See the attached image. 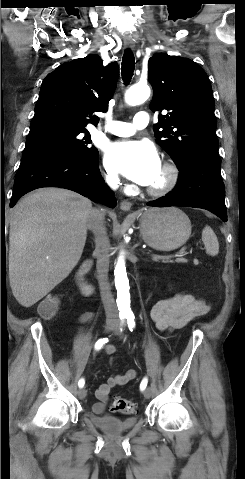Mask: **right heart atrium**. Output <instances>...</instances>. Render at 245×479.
Segmentation results:
<instances>
[{"label":"right heart atrium","mask_w":245,"mask_h":479,"mask_svg":"<svg viewBox=\"0 0 245 479\" xmlns=\"http://www.w3.org/2000/svg\"><path fill=\"white\" fill-rule=\"evenodd\" d=\"M104 180L111 187H117L120 184V179L118 175L110 170L105 171Z\"/></svg>","instance_id":"right-heart-atrium-1"}]
</instances>
